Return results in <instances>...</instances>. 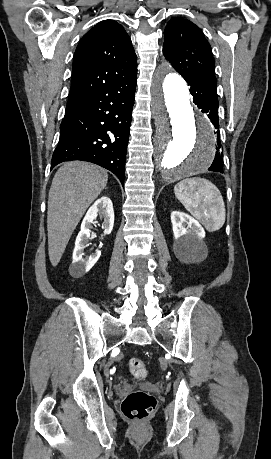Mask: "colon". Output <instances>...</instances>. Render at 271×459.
Here are the masks:
<instances>
[{
  "label": "colon",
  "instance_id": "colon-1",
  "mask_svg": "<svg viewBox=\"0 0 271 459\" xmlns=\"http://www.w3.org/2000/svg\"><path fill=\"white\" fill-rule=\"evenodd\" d=\"M128 367L134 377L138 379L145 378L146 366L140 358L132 357L128 362ZM155 408V397L142 390L129 393L121 404L123 415L129 420L137 422L147 419Z\"/></svg>",
  "mask_w": 271,
  "mask_h": 459
}]
</instances>
